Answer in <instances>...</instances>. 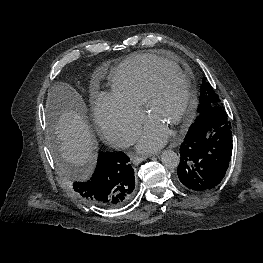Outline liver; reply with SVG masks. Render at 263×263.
<instances>
[{"label":"liver","mask_w":263,"mask_h":263,"mask_svg":"<svg viewBox=\"0 0 263 263\" xmlns=\"http://www.w3.org/2000/svg\"><path fill=\"white\" fill-rule=\"evenodd\" d=\"M49 109L62 157L74 167L91 164L96 140L81 114L79 94L68 84L57 83L49 91Z\"/></svg>","instance_id":"obj_1"}]
</instances>
